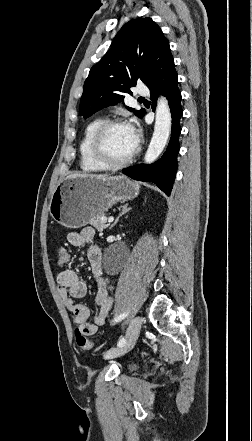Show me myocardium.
Masks as SVG:
<instances>
[{"mask_svg":"<svg viewBox=\"0 0 252 441\" xmlns=\"http://www.w3.org/2000/svg\"><path fill=\"white\" fill-rule=\"evenodd\" d=\"M121 125L127 124L121 119L103 120L92 134L89 146L90 154L97 163L106 169L117 170L127 166L129 163H131L138 152V147L136 146L129 156L119 162L110 161L104 154L102 149L103 136L110 128Z\"/></svg>","mask_w":252,"mask_h":441,"instance_id":"1","label":"myocardium"}]
</instances>
